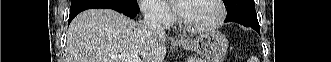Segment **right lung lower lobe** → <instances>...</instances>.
<instances>
[{"instance_id": "1", "label": "right lung lower lobe", "mask_w": 331, "mask_h": 62, "mask_svg": "<svg viewBox=\"0 0 331 62\" xmlns=\"http://www.w3.org/2000/svg\"><path fill=\"white\" fill-rule=\"evenodd\" d=\"M94 8H107V9H113L116 10L120 13H123L124 15L130 17V18H134L136 16V14L138 12H132L128 9L116 6V5H112V4H107V3H86V4H82L79 5L77 7L74 8H70V15H69V20H68V24H70V22L73 20V18L79 14L80 12L87 10V9H94Z\"/></svg>"}]
</instances>
